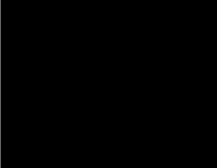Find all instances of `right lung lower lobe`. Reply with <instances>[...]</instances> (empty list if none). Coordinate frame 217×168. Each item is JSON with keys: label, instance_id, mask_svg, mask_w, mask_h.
<instances>
[{"label": "right lung lower lobe", "instance_id": "obj_1", "mask_svg": "<svg viewBox=\"0 0 217 168\" xmlns=\"http://www.w3.org/2000/svg\"><path fill=\"white\" fill-rule=\"evenodd\" d=\"M108 105V101H102ZM95 104L75 93L63 95L43 105L40 109L29 110L32 125L47 140L70 145L81 141L88 134Z\"/></svg>", "mask_w": 217, "mask_h": 168}]
</instances>
